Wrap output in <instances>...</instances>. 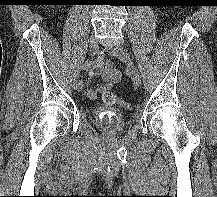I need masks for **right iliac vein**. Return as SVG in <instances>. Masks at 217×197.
Masks as SVG:
<instances>
[{"label":"right iliac vein","mask_w":217,"mask_h":197,"mask_svg":"<svg viewBox=\"0 0 217 197\" xmlns=\"http://www.w3.org/2000/svg\"><path fill=\"white\" fill-rule=\"evenodd\" d=\"M98 49H99L98 41L94 36H92L90 38V43H89L90 56L94 57L97 54ZM83 86H84L83 80H79L75 88L77 91H82Z\"/></svg>","instance_id":"right-iliac-vein-1"}]
</instances>
